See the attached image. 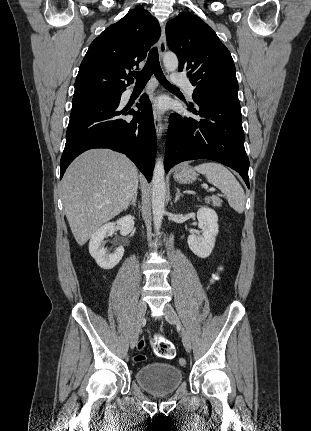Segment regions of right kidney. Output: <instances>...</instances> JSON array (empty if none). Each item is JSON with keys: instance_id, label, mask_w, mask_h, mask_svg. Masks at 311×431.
Wrapping results in <instances>:
<instances>
[{"instance_id": "ca27d5eb", "label": "right kidney", "mask_w": 311, "mask_h": 431, "mask_svg": "<svg viewBox=\"0 0 311 431\" xmlns=\"http://www.w3.org/2000/svg\"><path fill=\"white\" fill-rule=\"evenodd\" d=\"M119 225L121 235H128L134 227L132 216L120 217L118 221H109L94 231L89 241V251L103 269H112L124 255V247H117L114 253H108L104 247V237L114 233L115 225Z\"/></svg>"}]
</instances>
